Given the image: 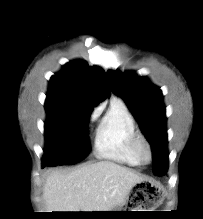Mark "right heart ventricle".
Masks as SVG:
<instances>
[{
    "instance_id": "right-heart-ventricle-1",
    "label": "right heart ventricle",
    "mask_w": 203,
    "mask_h": 219,
    "mask_svg": "<svg viewBox=\"0 0 203 219\" xmlns=\"http://www.w3.org/2000/svg\"><path fill=\"white\" fill-rule=\"evenodd\" d=\"M136 134L137 128L132 115L120 100L114 99L96 132V154L129 166H139L142 163L133 148Z\"/></svg>"
}]
</instances>
